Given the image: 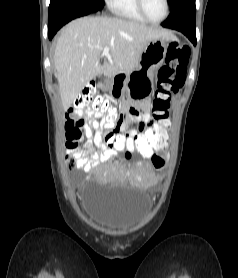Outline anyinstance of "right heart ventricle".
<instances>
[{"label": "right heart ventricle", "instance_id": "e07e8e85", "mask_svg": "<svg viewBox=\"0 0 238 278\" xmlns=\"http://www.w3.org/2000/svg\"><path fill=\"white\" fill-rule=\"evenodd\" d=\"M108 5L112 13L118 17L141 23L147 22L139 12L136 0H111Z\"/></svg>", "mask_w": 238, "mask_h": 278}]
</instances>
